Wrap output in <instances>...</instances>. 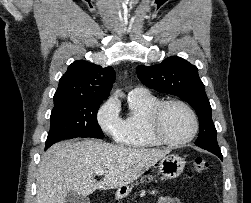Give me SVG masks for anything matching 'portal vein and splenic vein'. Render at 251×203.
I'll return each mask as SVG.
<instances>
[{
    "instance_id": "obj_1",
    "label": "portal vein and splenic vein",
    "mask_w": 251,
    "mask_h": 203,
    "mask_svg": "<svg viewBox=\"0 0 251 203\" xmlns=\"http://www.w3.org/2000/svg\"><path fill=\"white\" fill-rule=\"evenodd\" d=\"M105 173H106V171L104 169H99L95 172V174L98 176L104 175Z\"/></svg>"
}]
</instances>
